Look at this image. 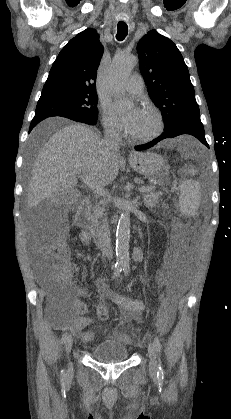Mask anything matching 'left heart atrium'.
<instances>
[{
	"mask_svg": "<svg viewBox=\"0 0 231 419\" xmlns=\"http://www.w3.org/2000/svg\"><path fill=\"white\" fill-rule=\"evenodd\" d=\"M140 108H134L129 113L120 117L121 125L130 133H132L142 115Z\"/></svg>",
	"mask_w": 231,
	"mask_h": 419,
	"instance_id": "1",
	"label": "left heart atrium"
}]
</instances>
